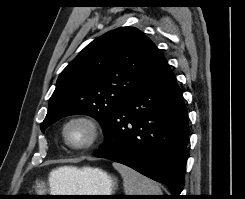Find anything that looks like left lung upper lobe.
Segmentation results:
<instances>
[{"mask_svg": "<svg viewBox=\"0 0 245 199\" xmlns=\"http://www.w3.org/2000/svg\"><path fill=\"white\" fill-rule=\"evenodd\" d=\"M163 55L141 31L120 27L88 44L60 73L41 125L86 114L103 131L115 109L153 74Z\"/></svg>", "mask_w": 245, "mask_h": 199, "instance_id": "5c2ea615", "label": "left lung upper lobe"}]
</instances>
